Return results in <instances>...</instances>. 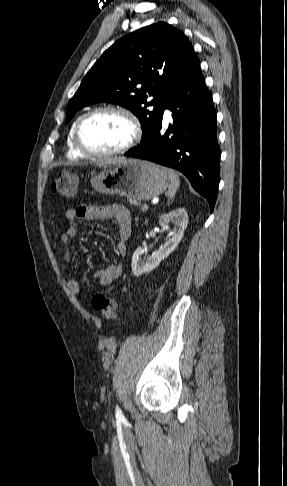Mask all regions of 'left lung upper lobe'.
<instances>
[{"label": "left lung upper lobe", "instance_id": "obj_1", "mask_svg": "<svg viewBox=\"0 0 287 486\" xmlns=\"http://www.w3.org/2000/svg\"><path fill=\"white\" fill-rule=\"evenodd\" d=\"M198 63L189 40L168 23L136 30L108 48L83 78L66 122L87 105L110 102L138 117L143 138L159 119L169 88Z\"/></svg>", "mask_w": 287, "mask_h": 486}]
</instances>
